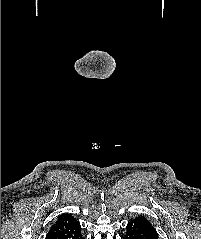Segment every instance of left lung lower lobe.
I'll return each instance as SVG.
<instances>
[{
  "mask_svg": "<svg viewBox=\"0 0 201 239\" xmlns=\"http://www.w3.org/2000/svg\"><path fill=\"white\" fill-rule=\"evenodd\" d=\"M126 229L123 239H158V234L147 223L139 220L130 221Z\"/></svg>",
  "mask_w": 201,
  "mask_h": 239,
  "instance_id": "obj_1",
  "label": "left lung lower lobe"
}]
</instances>
